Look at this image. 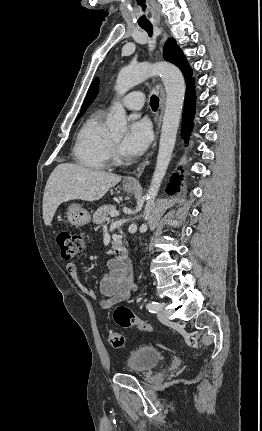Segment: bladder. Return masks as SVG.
<instances>
[{
	"label": "bladder",
	"instance_id": "1",
	"mask_svg": "<svg viewBox=\"0 0 262 431\" xmlns=\"http://www.w3.org/2000/svg\"><path fill=\"white\" fill-rule=\"evenodd\" d=\"M162 359L160 350L149 344H141L131 351L126 365L130 372L140 374L153 369Z\"/></svg>",
	"mask_w": 262,
	"mask_h": 431
}]
</instances>
